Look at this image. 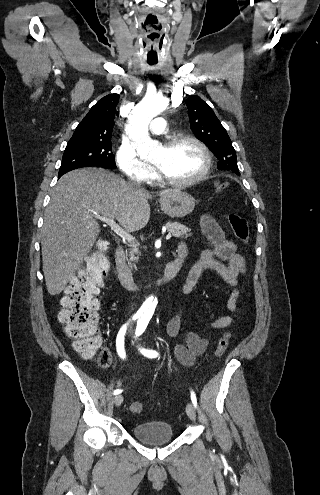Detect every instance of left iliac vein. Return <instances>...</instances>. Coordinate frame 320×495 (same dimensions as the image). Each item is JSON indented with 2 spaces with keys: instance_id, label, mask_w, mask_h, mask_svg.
<instances>
[{
  "instance_id": "4c4485c4",
  "label": "left iliac vein",
  "mask_w": 320,
  "mask_h": 495,
  "mask_svg": "<svg viewBox=\"0 0 320 495\" xmlns=\"http://www.w3.org/2000/svg\"><path fill=\"white\" fill-rule=\"evenodd\" d=\"M186 413H187L188 417L192 421H195V419H196V413H195V409H194V406L192 405V403H188L187 404V406H186Z\"/></svg>"
}]
</instances>
